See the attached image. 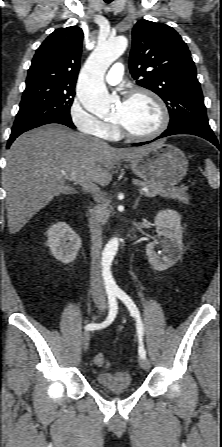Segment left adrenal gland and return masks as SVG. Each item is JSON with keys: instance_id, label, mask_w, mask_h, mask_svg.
I'll use <instances>...</instances> for the list:
<instances>
[{"instance_id": "obj_1", "label": "left adrenal gland", "mask_w": 222, "mask_h": 447, "mask_svg": "<svg viewBox=\"0 0 222 447\" xmlns=\"http://www.w3.org/2000/svg\"><path fill=\"white\" fill-rule=\"evenodd\" d=\"M139 200H140V197H138V198L136 199V201H135V203H134V206H133L134 209L137 208L138 203H139Z\"/></svg>"}]
</instances>
